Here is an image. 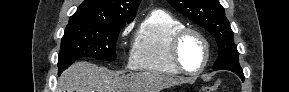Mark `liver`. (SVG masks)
I'll list each match as a JSON object with an SVG mask.
<instances>
[{
	"instance_id": "liver-1",
	"label": "liver",
	"mask_w": 289,
	"mask_h": 92,
	"mask_svg": "<svg viewBox=\"0 0 289 92\" xmlns=\"http://www.w3.org/2000/svg\"><path fill=\"white\" fill-rule=\"evenodd\" d=\"M181 82L150 72L119 75L105 67L81 61L62 73L58 92H160Z\"/></svg>"
}]
</instances>
